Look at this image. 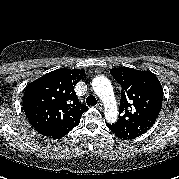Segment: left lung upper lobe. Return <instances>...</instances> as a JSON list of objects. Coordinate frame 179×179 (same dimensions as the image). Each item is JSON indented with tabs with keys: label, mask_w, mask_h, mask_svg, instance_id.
I'll list each match as a JSON object with an SVG mask.
<instances>
[{
	"label": "left lung upper lobe",
	"mask_w": 179,
	"mask_h": 179,
	"mask_svg": "<svg viewBox=\"0 0 179 179\" xmlns=\"http://www.w3.org/2000/svg\"><path fill=\"white\" fill-rule=\"evenodd\" d=\"M111 75L121 85L119 119L107 127L121 139H134L155 123L163 101V88L149 71L112 68Z\"/></svg>",
	"instance_id": "left-lung-upper-lobe-1"
}]
</instances>
